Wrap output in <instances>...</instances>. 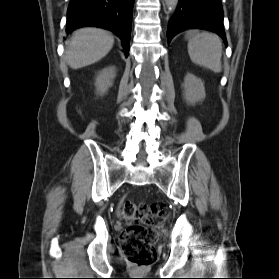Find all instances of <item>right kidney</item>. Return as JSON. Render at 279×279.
<instances>
[{
    "instance_id": "obj_1",
    "label": "right kidney",
    "mask_w": 279,
    "mask_h": 279,
    "mask_svg": "<svg viewBox=\"0 0 279 279\" xmlns=\"http://www.w3.org/2000/svg\"><path fill=\"white\" fill-rule=\"evenodd\" d=\"M115 76V67H108L103 69L96 77L95 86L97 93L101 96L104 95L109 87L112 86Z\"/></svg>"
}]
</instances>
